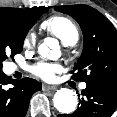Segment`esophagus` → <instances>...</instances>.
I'll use <instances>...</instances> for the list:
<instances>
[{"label": "esophagus", "instance_id": "esophagus-1", "mask_svg": "<svg viewBox=\"0 0 117 117\" xmlns=\"http://www.w3.org/2000/svg\"><path fill=\"white\" fill-rule=\"evenodd\" d=\"M43 90L45 91H54L57 89V86H53V85H47V84H44L42 86Z\"/></svg>", "mask_w": 117, "mask_h": 117}]
</instances>
